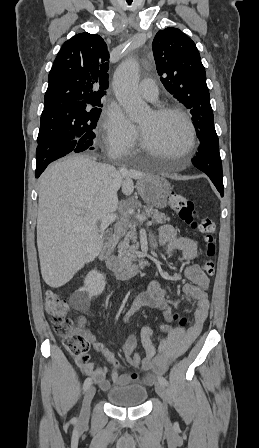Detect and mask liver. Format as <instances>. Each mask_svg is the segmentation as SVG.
I'll list each match as a JSON object with an SVG mask.
<instances>
[{
  "mask_svg": "<svg viewBox=\"0 0 259 448\" xmlns=\"http://www.w3.org/2000/svg\"><path fill=\"white\" fill-rule=\"evenodd\" d=\"M129 178L126 170L120 174L114 166L80 154L46 168L39 178L37 246L47 286L61 288L99 256L103 240L97 222L116 210L122 214L117 192L120 186H132Z\"/></svg>",
  "mask_w": 259,
  "mask_h": 448,
  "instance_id": "liver-1",
  "label": "liver"
}]
</instances>
